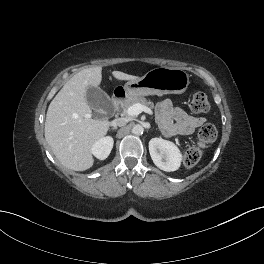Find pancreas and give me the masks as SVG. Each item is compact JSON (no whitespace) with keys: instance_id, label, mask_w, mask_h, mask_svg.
Instances as JSON below:
<instances>
[{"instance_id":"1","label":"pancreas","mask_w":264,"mask_h":264,"mask_svg":"<svg viewBox=\"0 0 264 264\" xmlns=\"http://www.w3.org/2000/svg\"><path fill=\"white\" fill-rule=\"evenodd\" d=\"M136 103L142 104L144 106H150L152 108L154 107V104L151 101H147L144 97H132L125 99L121 102L120 107L123 112L126 113L127 109Z\"/></svg>"}]
</instances>
